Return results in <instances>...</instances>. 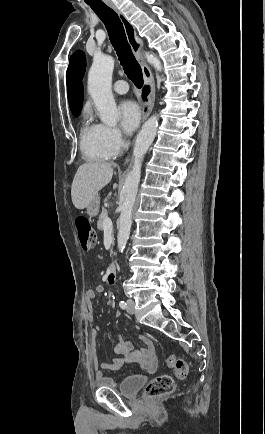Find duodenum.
Returning <instances> with one entry per match:
<instances>
[{
  "instance_id": "obj_1",
  "label": "duodenum",
  "mask_w": 265,
  "mask_h": 434,
  "mask_svg": "<svg viewBox=\"0 0 265 434\" xmlns=\"http://www.w3.org/2000/svg\"><path fill=\"white\" fill-rule=\"evenodd\" d=\"M117 266L115 264H109L107 266L106 281L108 284H114L116 282Z\"/></svg>"
}]
</instances>
